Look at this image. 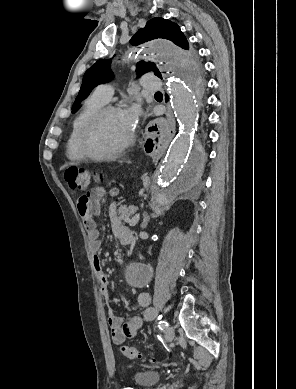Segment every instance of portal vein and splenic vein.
<instances>
[{"mask_svg": "<svg viewBox=\"0 0 296 389\" xmlns=\"http://www.w3.org/2000/svg\"><path fill=\"white\" fill-rule=\"evenodd\" d=\"M140 219V214H136L129 222V226H135Z\"/></svg>", "mask_w": 296, "mask_h": 389, "instance_id": "portal-vein-and-splenic-vein-1", "label": "portal vein and splenic vein"}]
</instances>
